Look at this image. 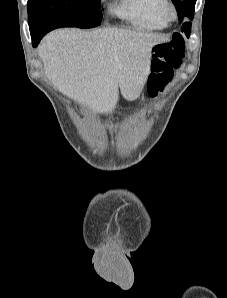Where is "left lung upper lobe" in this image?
Returning a JSON list of instances; mask_svg holds the SVG:
<instances>
[{"instance_id": "left-lung-upper-lobe-1", "label": "left lung upper lobe", "mask_w": 227, "mask_h": 298, "mask_svg": "<svg viewBox=\"0 0 227 298\" xmlns=\"http://www.w3.org/2000/svg\"><path fill=\"white\" fill-rule=\"evenodd\" d=\"M177 11L178 18L181 22V31L189 38L191 31V22L186 19H193L196 0H172Z\"/></svg>"}]
</instances>
